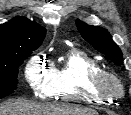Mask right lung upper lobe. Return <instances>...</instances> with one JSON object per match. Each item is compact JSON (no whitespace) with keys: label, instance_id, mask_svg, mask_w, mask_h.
Wrapping results in <instances>:
<instances>
[{"label":"right lung upper lobe","instance_id":"cb5924a9","mask_svg":"<svg viewBox=\"0 0 131 115\" xmlns=\"http://www.w3.org/2000/svg\"><path fill=\"white\" fill-rule=\"evenodd\" d=\"M46 29L25 17L17 16L0 25V63L24 50L36 49L43 41Z\"/></svg>","mask_w":131,"mask_h":115}]
</instances>
